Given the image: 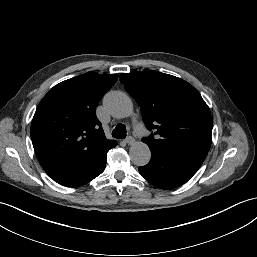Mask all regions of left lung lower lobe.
<instances>
[{"mask_svg": "<svg viewBox=\"0 0 257 257\" xmlns=\"http://www.w3.org/2000/svg\"><path fill=\"white\" fill-rule=\"evenodd\" d=\"M151 160L139 172L153 185L171 189L187 182L199 169L207 153L200 150L163 151L150 148Z\"/></svg>", "mask_w": 257, "mask_h": 257, "instance_id": "1", "label": "left lung lower lobe"}]
</instances>
